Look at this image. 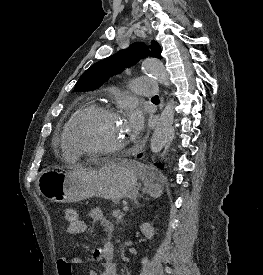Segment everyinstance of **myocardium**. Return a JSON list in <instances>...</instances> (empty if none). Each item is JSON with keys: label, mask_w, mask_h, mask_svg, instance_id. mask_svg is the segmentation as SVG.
Instances as JSON below:
<instances>
[{"label": "myocardium", "mask_w": 263, "mask_h": 275, "mask_svg": "<svg viewBox=\"0 0 263 275\" xmlns=\"http://www.w3.org/2000/svg\"><path fill=\"white\" fill-rule=\"evenodd\" d=\"M98 114H106L116 118H121L119 112L114 108L108 105H94L82 112L79 116L74 120L68 135V141L74 151L78 155H87V156H107L114 155L123 152L126 150L128 146V142H122L117 146L107 148V149H88L80 146L76 141V134L79 126L88 118L98 115Z\"/></svg>", "instance_id": "f54148a6"}]
</instances>
